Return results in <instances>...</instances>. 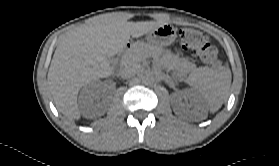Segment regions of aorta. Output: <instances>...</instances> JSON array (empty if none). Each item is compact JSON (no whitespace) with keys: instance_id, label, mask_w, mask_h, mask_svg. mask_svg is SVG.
<instances>
[{"instance_id":"1","label":"aorta","mask_w":279,"mask_h":166,"mask_svg":"<svg viewBox=\"0 0 279 166\" xmlns=\"http://www.w3.org/2000/svg\"><path fill=\"white\" fill-rule=\"evenodd\" d=\"M153 81H154V77L150 73H147V74L142 76V82L146 85L152 84Z\"/></svg>"}]
</instances>
